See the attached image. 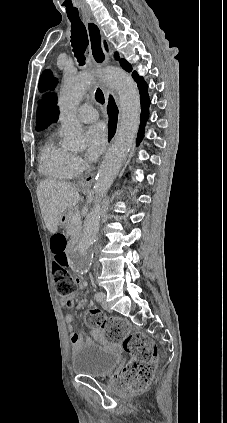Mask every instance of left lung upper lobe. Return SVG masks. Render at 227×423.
<instances>
[{
  "label": "left lung upper lobe",
  "mask_w": 227,
  "mask_h": 423,
  "mask_svg": "<svg viewBox=\"0 0 227 423\" xmlns=\"http://www.w3.org/2000/svg\"><path fill=\"white\" fill-rule=\"evenodd\" d=\"M115 58L119 59L118 54H115ZM120 65L126 71H132L131 65L124 59L120 60ZM134 80L141 78L136 71L132 73ZM56 95L48 94L42 101L39 102V107L37 108V120H36V130H43L49 124L56 122L58 119V108L56 106Z\"/></svg>",
  "instance_id": "obj_1"
}]
</instances>
